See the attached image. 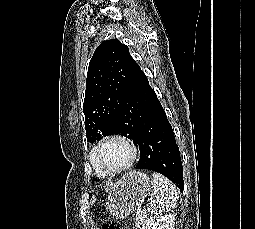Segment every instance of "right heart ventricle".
I'll return each mask as SVG.
<instances>
[{
    "mask_svg": "<svg viewBox=\"0 0 255 229\" xmlns=\"http://www.w3.org/2000/svg\"><path fill=\"white\" fill-rule=\"evenodd\" d=\"M90 162H91V160H90ZM91 164H92V162H91ZM92 167H93L95 173L98 176H100V177H107L108 176V174L101 167H99L97 165H94V164H92Z\"/></svg>",
    "mask_w": 255,
    "mask_h": 229,
    "instance_id": "e07e8e85",
    "label": "right heart ventricle"
}]
</instances>
